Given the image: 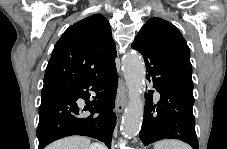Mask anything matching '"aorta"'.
<instances>
[{
	"label": "aorta",
	"mask_w": 227,
	"mask_h": 149,
	"mask_svg": "<svg viewBox=\"0 0 227 149\" xmlns=\"http://www.w3.org/2000/svg\"><path fill=\"white\" fill-rule=\"evenodd\" d=\"M123 75L129 89V103L122 118V134L131 138L136 136L140 129L144 113L142 99L145 84V65L142 57L135 52L127 53L122 61Z\"/></svg>",
	"instance_id": "obj_1"
}]
</instances>
